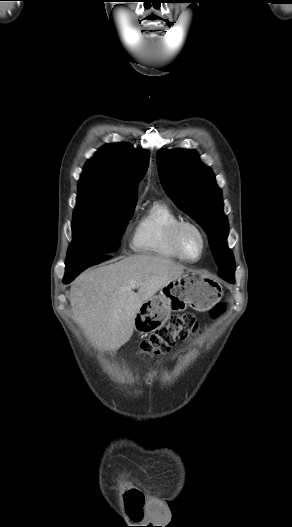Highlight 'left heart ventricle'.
<instances>
[{
  "label": "left heart ventricle",
  "instance_id": "obj_1",
  "mask_svg": "<svg viewBox=\"0 0 292 527\" xmlns=\"http://www.w3.org/2000/svg\"><path fill=\"white\" fill-rule=\"evenodd\" d=\"M181 246L187 257L197 258L202 247L201 237L194 229L185 228L181 233Z\"/></svg>",
  "mask_w": 292,
  "mask_h": 527
}]
</instances>
